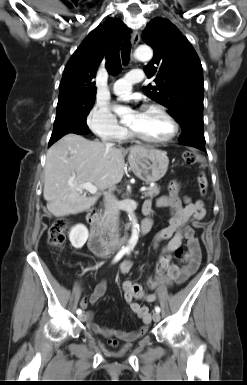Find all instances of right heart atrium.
Wrapping results in <instances>:
<instances>
[{"label": "right heart atrium", "instance_id": "right-heart-atrium-1", "mask_svg": "<svg viewBox=\"0 0 247 385\" xmlns=\"http://www.w3.org/2000/svg\"><path fill=\"white\" fill-rule=\"evenodd\" d=\"M87 125L96 136L105 140L118 141L127 133L126 128L118 123L109 108L98 102L88 113Z\"/></svg>", "mask_w": 247, "mask_h": 385}]
</instances>
